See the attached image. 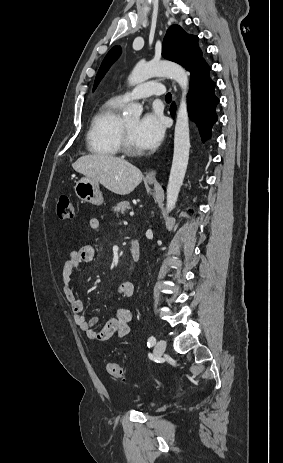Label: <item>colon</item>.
I'll list each match as a JSON object with an SVG mask.
<instances>
[{
    "instance_id": "colon-1",
    "label": "colon",
    "mask_w": 283,
    "mask_h": 463,
    "mask_svg": "<svg viewBox=\"0 0 283 463\" xmlns=\"http://www.w3.org/2000/svg\"><path fill=\"white\" fill-rule=\"evenodd\" d=\"M57 215L61 220H72L75 218V208L73 201L68 196H61L57 205ZM110 376L117 379H124L122 367L114 362H109L106 366Z\"/></svg>"
}]
</instances>
